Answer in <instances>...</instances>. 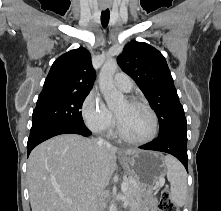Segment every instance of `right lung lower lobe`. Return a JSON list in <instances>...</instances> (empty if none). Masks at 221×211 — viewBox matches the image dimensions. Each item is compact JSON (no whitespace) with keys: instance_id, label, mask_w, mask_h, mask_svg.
<instances>
[{"instance_id":"obj_1","label":"right lung lower lobe","mask_w":221,"mask_h":211,"mask_svg":"<svg viewBox=\"0 0 221 211\" xmlns=\"http://www.w3.org/2000/svg\"><path fill=\"white\" fill-rule=\"evenodd\" d=\"M80 134L82 136H89L90 130L86 126H79L73 124H50L39 127L33 131H30V136L27 143V156L34 147L41 142L60 134Z\"/></svg>"}]
</instances>
